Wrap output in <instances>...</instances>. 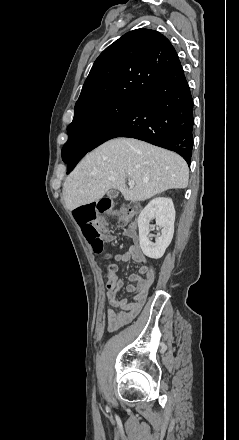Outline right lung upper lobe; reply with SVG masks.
Listing matches in <instances>:
<instances>
[{
    "mask_svg": "<svg viewBox=\"0 0 239 440\" xmlns=\"http://www.w3.org/2000/svg\"><path fill=\"white\" fill-rule=\"evenodd\" d=\"M179 62L174 47L161 33L143 28L130 31L96 59L75 113L117 96L137 98Z\"/></svg>",
    "mask_w": 239,
    "mask_h": 440,
    "instance_id": "obj_1",
    "label": "right lung upper lobe"
}]
</instances>
